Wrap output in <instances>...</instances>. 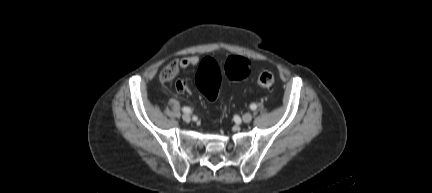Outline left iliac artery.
<instances>
[{
    "mask_svg": "<svg viewBox=\"0 0 432 193\" xmlns=\"http://www.w3.org/2000/svg\"><path fill=\"white\" fill-rule=\"evenodd\" d=\"M256 108H257L256 104L253 103V104L250 105V109L251 110H255Z\"/></svg>",
    "mask_w": 432,
    "mask_h": 193,
    "instance_id": "obj_1",
    "label": "left iliac artery"
}]
</instances>
